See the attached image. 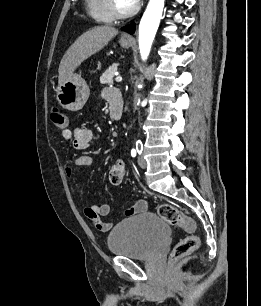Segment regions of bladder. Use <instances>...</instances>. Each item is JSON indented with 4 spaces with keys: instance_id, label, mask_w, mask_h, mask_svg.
<instances>
[{
    "instance_id": "bladder-1",
    "label": "bladder",
    "mask_w": 261,
    "mask_h": 306,
    "mask_svg": "<svg viewBox=\"0 0 261 306\" xmlns=\"http://www.w3.org/2000/svg\"><path fill=\"white\" fill-rule=\"evenodd\" d=\"M171 229L159 215L142 213L116 225L109 233L107 245L116 256L148 259L170 236Z\"/></svg>"
}]
</instances>
